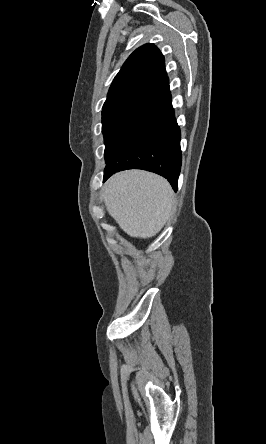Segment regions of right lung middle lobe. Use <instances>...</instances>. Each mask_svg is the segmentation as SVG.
<instances>
[{
    "label": "right lung middle lobe",
    "instance_id": "dd1d6c3e",
    "mask_svg": "<svg viewBox=\"0 0 266 444\" xmlns=\"http://www.w3.org/2000/svg\"><path fill=\"white\" fill-rule=\"evenodd\" d=\"M166 106L162 100L148 95H132L105 103L102 111L105 160L113 156Z\"/></svg>",
    "mask_w": 266,
    "mask_h": 444
}]
</instances>
